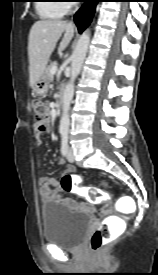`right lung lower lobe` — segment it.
Returning a JSON list of instances; mask_svg holds the SVG:
<instances>
[{"mask_svg":"<svg viewBox=\"0 0 158 275\" xmlns=\"http://www.w3.org/2000/svg\"><path fill=\"white\" fill-rule=\"evenodd\" d=\"M84 4L75 14L74 20L80 33H82L90 24L95 12L96 4L99 0H84Z\"/></svg>","mask_w":158,"mask_h":275,"instance_id":"98d812e1","label":"right lung lower lobe"}]
</instances>
